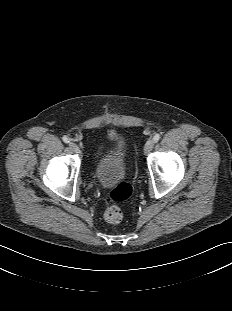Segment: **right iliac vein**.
I'll return each mask as SVG.
<instances>
[{
    "label": "right iliac vein",
    "mask_w": 232,
    "mask_h": 311,
    "mask_svg": "<svg viewBox=\"0 0 232 311\" xmlns=\"http://www.w3.org/2000/svg\"><path fill=\"white\" fill-rule=\"evenodd\" d=\"M69 147L75 152V153H79V147L76 143L74 142H70L69 143Z\"/></svg>",
    "instance_id": "right-iliac-vein-1"
}]
</instances>
